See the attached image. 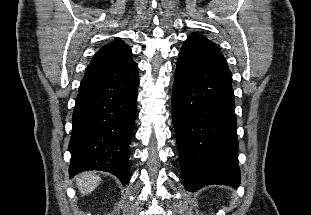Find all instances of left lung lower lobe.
Listing matches in <instances>:
<instances>
[{
    "instance_id": "obj_1",
    "label": "left lung lower lobe",
    "mask_w": 311,
    "mask_h": 215,
    "mask_svg": "<svg viewBox=\"0 0 311 215\" xmlns=\"http://www.w3.org/2000/svg\"><path fill=\"white\" fill-rule=\"evenodd\" d=\"M232 74L220 49L202 35H190L178 57L172 116L189 192L209 184L237 188V127Z\"/></svg>"
}]
</instances>
